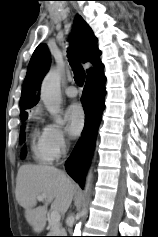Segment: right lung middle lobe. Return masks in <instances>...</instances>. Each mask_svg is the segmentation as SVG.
Instances as JSON below:
<instances>
[{
	"instance_id": "right-lung-middle-lobe-1",
	"label": "right lung middle lobe",
	"mask_w": 158,
	"mask_h": 237,
	"mask_svg": "<svg viewBox=\"0 0 158 237\" xmlns=\"http://www.w3.org/2000/svg\"><path fill=\"white\" fill-rule=\"evenodd\" d=\"M27 117L28 116H24V117H21V120L22 121H25L26 119H27ZM20 140H21V142H24L25 141V133H24V126H22V128H21V134H20ZM26 148L24 147L23 149H22V152H21V157L22 158H24L25 156H26Z\"/></svg>"
}]
</instances>
